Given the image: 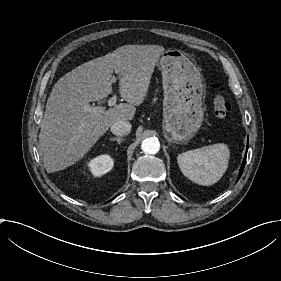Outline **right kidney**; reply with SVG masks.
<instances>
[{
    "mask_svg": "<svg viewBox=\"0 0 281 281\" xmlns=\"http://www.w3.org/2000/svg\"><path fill=\"white\" fill-rule=\"evenodd\" d=\"M85 166L92 177L98 178L112 170L114 159L110 154L102 153L89 157Z\"/></svg>",
    "mask_w": 281,
    "mask_h": 281,
    "instance_id": "right-kidney-1",
    "label": "right kidney"
}]
</instances>
